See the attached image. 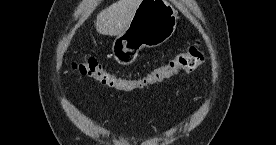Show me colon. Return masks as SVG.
<instances>
[{
  "instance_id": "5ec220e1",
  "label": "colon",
  "mask_w": 276,
  "mask_h": 145,
  "mask_svg": "<svg viewBox=\"0 0 276 145\" xmlns=\"http://www.w3.org/2000/svg\"><path fill=\"white\" fill-rule=\"evenodd\" d=\"M204 52L199 43L175 55L166 64L154 69L141 79H130L103 67L94 58H83L73 63V69L102 86L122 92H132L146 86L165 82L175 76L190 72L203 64Z\"/></svg>"
}]
</instances>
